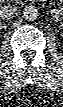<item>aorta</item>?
Wrapping results in <instances>:
<instances>
[{"mask_svg":"<svg viewBox=\"0 0 63 107\" xmlns=\"http://www.w3.org/2000/svg\"><path fill=\"white\" fill-rule=\"evenodd\" d=\"M39 16L38 9L33 5H28L23 9V17L27 21H34Z\"/></svg>","mask_w":63,"mask_h":107,"instance_id":"obj_1","label":"aorta"}]
</instances>
